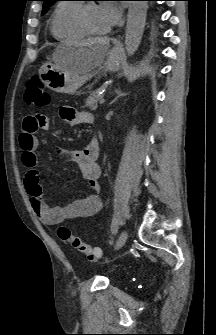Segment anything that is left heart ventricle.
I'll list each match as a JSON object with an SVG mask.
<instances>
[{"label":"left heart ventricle","instance_id":"b2bd125f","mask_svg":"<svg viewBox=\"0 0 216 335\" xmlns=\"http://www.w3.org/2000/svg\"><path fill=\"white\" fill-rule=\"evenodd\" d=\"M87 20L90 27L97 32L105 31L106 26L100 14L99 6L97 4L90 5L87 10Z\"/></svg>","mask_w":216,"mask_h":335}]
</instances>
